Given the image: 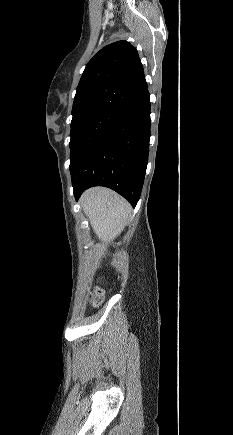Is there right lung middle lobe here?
<instances>
[{
  "label": "right lung middle lobe",
  "instance_id": "dd1d6c3e",
  "mask_svg": "<svg viewBox=\"0 0 233 435\" xmlns=\"http://www.w3.org/2000/svg\"><path fill=\"white\" fill-rule=\"evenodd\" d=\"M123 114L100 110L77 117L71 122L70 171L72 172L93 145L122 117Z\"/></svg>",
  "mask_w": 233,
  "mask_h": 435
}]
</instances>
